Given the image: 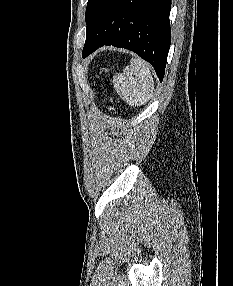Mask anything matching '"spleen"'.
I'll return each mask as SVG.
<instances>
[{
  "instance_id": "1",
  "label": "spleen",
  "mask_w": 233,
  "mask_h": 286,
  "mask_svg": "<svg viewBox=\"0 0 233 286\" xmlns=\"http://www.w3.org/2000/svg\"><path fill=\"white\" fill-rule=\"evenodd\" d=\"M151 66L139 57L130 60V65L113 77V85L120 97L130 106L148 102L154 92Z\"/></svg>"
}]
</instances>
